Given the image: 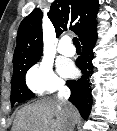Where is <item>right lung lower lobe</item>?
I'll return each mask as SVG.
<instances>
[{
    "label": "right lung lower lobe",
    "mask_w": 117,
    "mask_h": 131,
    "mask_svg": "<svg viewBox=\"0 0 117 131\" xmlns=\"http://www.w3.org/2000/svg\"><path fill=\"white\" fill-rule=\"evenodd\" d=\"M96 40L97 32L80 40L83 45V53L76 60V65L82 71L83 75L78 80H69L66 83L71 90L69 101L77 107L81 116L85 119L89 116L92 106L90 76L93 73L92 59Z\"/></svg>",
    "instance_id": "98d812e1"
}]
</instances>
